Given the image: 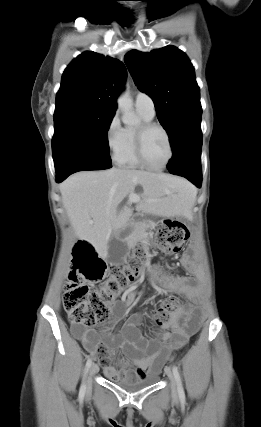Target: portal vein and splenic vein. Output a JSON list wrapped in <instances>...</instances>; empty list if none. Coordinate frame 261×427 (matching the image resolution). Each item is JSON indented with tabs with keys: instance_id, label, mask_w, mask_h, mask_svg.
<instances>
[{
	"instance_id": "18ae733b",
	"label": "portal vein and splenic vein",
	"mask_w": 261,
	"mask_h": 427,
	"mask_svg": "<svg viewBox=\"0 0 261 427\" xmlns=\"http://www.w3.org/2000/svg\"><path fill=\"white\" fill-rule=\"evenodd\" d=\"M128 201H129V203L139 202L140 201V196L137 195V194L132 193V194L129 195V200Z\"/></svg>"
}]
</instances>
